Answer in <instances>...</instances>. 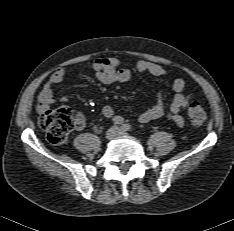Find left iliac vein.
<instances>
[{
	"label": "left iliac vein",
	"mask_w": 234,
	"mask_h": 231,
	"mask_svg": "<svg viewBox=\"0 0 234 231\" xmlns=\"http://www.w3.org/2000/svg\"><path fill=\"white\" fill-rule=\"evenodd\" d=\"M126 134H127V133H126L124 130L120 129V130H119L118 136H124V135H126Z\"/></svg>",
	"instance_id": "1"
}]
</instances>
